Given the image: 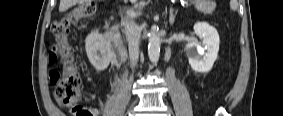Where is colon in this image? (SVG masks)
<instances>
[{"mask_svg": "<svg viewBox=\"0 0 283 116\" xmlns=\"http://www.w3.org/2000/svg\"><path fill=\"white\" fill-rule=\"evenodd\" d=\"M95 10V1H80L52 25V32L57 42L51 55L60 59L62 73L50 75V83L54 87L56 101L62 106H71L75 116H91L92 109L77 105L81 99L80 78L72 60V48L68 42V36L70 28L74 24L81 19L92 16Z\"/></svg>", "mask_w": 283, "mask_h": 116, "instance_id": "obj_1", "label": "colon"}]
</instances>
